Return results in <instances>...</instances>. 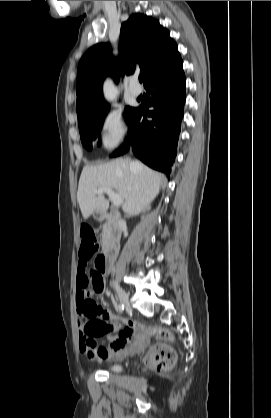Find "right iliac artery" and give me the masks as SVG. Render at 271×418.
<instances>
[{
	"label": "right iliac artery",
	"mask_w": 271,
	"mask_h": 418,
	"mask_svg": "<svg viewBox=\"0 0 271 418\" xmlns=\"http://www.w3.org/2000/svg\"><path fill=\"white\" fill-rule=\"evenodd\" d=\"M116 309H117L118 312L121 313L124 310V306L122 304H118Z\"/></svg>",
	"instance_id": "obj_1"
}]
</instances>
